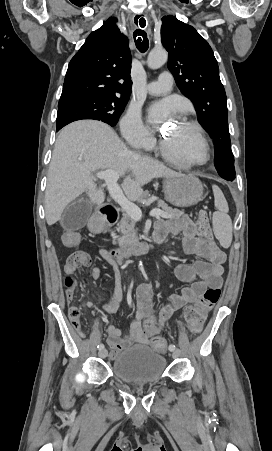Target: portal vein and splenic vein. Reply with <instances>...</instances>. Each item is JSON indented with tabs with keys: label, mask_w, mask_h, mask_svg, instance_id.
Here are the masks:
<instances>
[{
	"label": "portal vein and splenic vein",
	"mask_w": 272,
	"mask_h": 451,
	"mask_svg": "<svg viewBox=\"0 0 272 451\" xmlns=\"http://www.w3.org/2000/svg\"><path fill=\"white\" fill-rule=\"evenodd\" d=\"M78 160H82V158H78ZM96 178H99V180H105L111 198H113V200L121 206L122 210H125L126 214L131 216L132 220H135V222L141 220L142 212L140 208L125 198L120 186L117 184L119 180L118 172H115V170L97 172ZM150 216H153V218H167V220L170 218V216H167L166 212H162V210H151Z\"/></svg>",
	"instance_id": "portal-vein-and-splenic-vein-1"
}]
</instances>
